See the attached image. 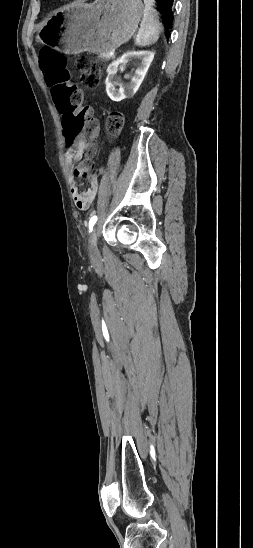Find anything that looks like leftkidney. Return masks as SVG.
I'll return each instance as SVG.
<instances>
[{
	"label": "left kidney",
	"mask_w": 253,
	"mask_h": 548,
	"mask_svg": "<svg viewBox=\"0 0 253 548\" xmlns=\"http://www.w3.org/2000/svg\"><path fill=\"white\" fill-rule=\"evenodd\" d=\"M154 53L151 51H133L122 55L119 59L112 62L107 68V78L105 81L106 92L112 101L119 102L123 99L132 97L139 89L152 61ZM134 61L137 65L131 81L127 84H121L116 78L118 66Z\"/></svg>",
	"instance_id": "5707ae66"
}]
</instances>
